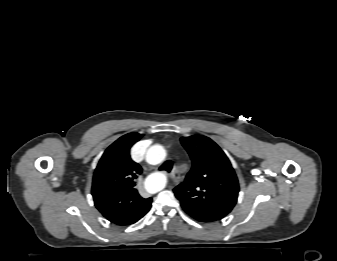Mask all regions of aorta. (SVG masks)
<instances>
[{
	"mask_svg": "<svg viewBox=\"0 0 337 261\" xmlns=\"http://www.w3.org/2000/svg\"><path fill=\"white\" fill-rule=\"evenodd\" d=\"M166 157V151L161 145L151 146L146 153V161L151 165H157L161 163ZM157 181V184L153 186V182ZM148 188L153 189L154 192L160 191L164 187V180L161 176H153L147 183Z\"/></svg>",
	"mask_w": 337,
	"mask_h": 261,
	"instance_id": "1",
	"label": "aorta"
}]
</instances>
